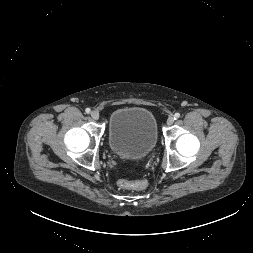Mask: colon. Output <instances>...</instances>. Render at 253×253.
<instances>
[{
	"label": "colon",
	"instance_id": "5ec220e1",
	"mask_svg": "<svg viewBox=\"0 0 253 253\" xmlns=\"http://www.w3.org/2000/svg\"><path fill=\"white\" fill-rule=\"evenodd\" d=\"M117 184L119 188L128 190H143L147 187V182L145 180H119Z\"/></svg>",
	"mask_w": 253,
	"mask_h": 253
}]
</instances>
